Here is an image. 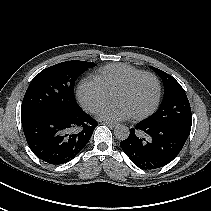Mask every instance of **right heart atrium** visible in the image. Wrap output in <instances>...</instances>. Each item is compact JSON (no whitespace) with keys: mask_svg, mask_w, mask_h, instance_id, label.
Segmentation results:
<instances>
[{"mask_svg":"<svg viewBox=\"0 0 211 211\" xmlns=\"http://www.w3.org/2000/svg\"><path fill=\"white\" fill-rule=\"evenodd\" d=\"M77 96L84 109L90 113L97 112L110 99V94L96 78L82 80L77 88Z\"/></svg>","mask_w":211,"mask_h":211,"instance_id":"right-heart-atrium-1","label":"right heart atrium"}]
</instances>
